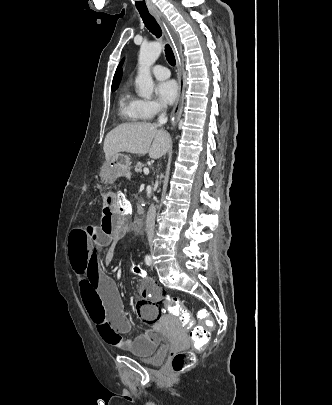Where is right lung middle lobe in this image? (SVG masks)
Returning <instances> with one entry per match:
<instances>
[{"label":"right lung middle lobe","mask_w":332,"mask_h":405,"mask_svg":"<svg viewBox=\"0 0 332 405\" xmlns=\"http://www.w3.org/2000/svg\"><path fill=\"white\" fill-rule=\"evenodd\" d=\"M117 87H118V85L113 86V87H112V91H115V90L117 89Z\"/></svg>","instance_id":"obj_1"}]
</instances>
